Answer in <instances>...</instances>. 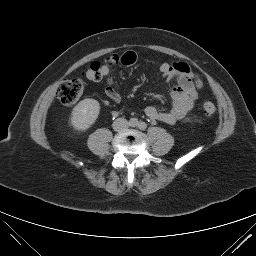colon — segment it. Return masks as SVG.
<instances>
[{
  "instance_id": "obj_1",
  "label": "colon",
  "mask_w": 256,
  "mask_h": 256,
  "mask_svg": "<svg viewBox=\"0 0 256 256\" xmlns=\"http://www.w3.org/2000/svg\"><path fill=\"white\" fill-rule=\"evenodd\" d=\"M103 66L104 63L93 62L91 63L84 75L87 79L98 81L103 77ZM194 84L196 87L202 86V81L199 77H195ZM83 83L79 79H67L61 82L58 87L57 95L61 103L65 106H73L78 102L83 94ZM203 110L206 115H214L216 113V107L211 102H205Z\"/></svg>"
}]
</instances>
